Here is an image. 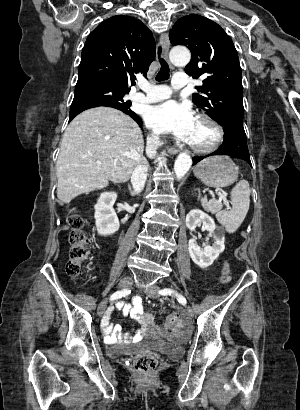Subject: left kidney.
Listing matches in <instances>:
<instances>
[{"instance_id":"5707ae66","label":"left kidney","mask_w":300,"mask_h":410,"mask_svg":"<svg viewBox=\"0 0 300 410\" xmlns=\"http://www.w3.org/2000/svg\"><path fill=\"white\" fill-rule=\"evenodd\" d=\"M202 224L203 228L209 232V236L213 238L214 243L211 245L206 244L203 249H201L195 238H191L188 242V250L191 259L200 268H207L212 265L215 259L218 258L219 254L225 249L224 241V231L221 228H217L213 218H211L205 212L194 209L191 210L186 216V226L190 230H195L197 226ZM209 238L206 240L208 241Z\"/></svg>"}]
</instances>
